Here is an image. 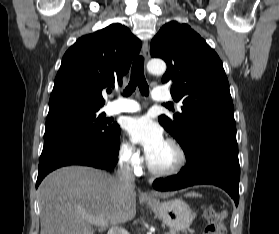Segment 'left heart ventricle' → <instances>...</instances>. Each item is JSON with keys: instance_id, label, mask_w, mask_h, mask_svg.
Wrapping results in <instances>:
<instances>
[{"instance_id": "1", "label": "left heart ventricle", "mask_w": 279, "mask_h": 234, "mask_svg": "<svg viewBox=\"0 0 279 234\" xmlns=\"http://www.w3.org/2000/svg\"><path fill=\"white\" fill-rule=\"evenodd\" d=\"M177 156L175 150L165 143L155 154L149 158V161L156 168H168L176 162Z\"/></svg>"}]
</instances>
